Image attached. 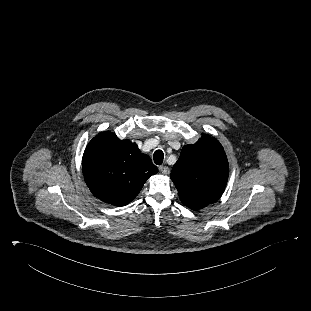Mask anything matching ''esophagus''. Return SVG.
I'll return each instance as SVG.
<instances>
[{
	"label": "esophagus",
	"mask_w": 311,
	"mask_h": 311,
	"mask_svg": "<svg viewBox=\"0 0 311 311\" xmlns=\"http://www.w3.org/2000/svg\"><path fill=\"white\" fill-rule=\"evenodd\" d=\"M159 170H160L161 173H163L165 175L170 173V169L167 166H160Z\"/></svg>",
	"instance_id": "1"
}]
</instances>
